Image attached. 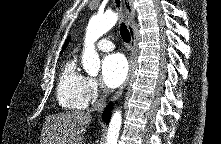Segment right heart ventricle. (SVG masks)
<instances>
[{
  "mask_svg": "<svg viewBox=\"0 0 221 144\" xmlns=\"http://www.w3.org/2000/svg\"><path fill=\"white\" fill-rule=\"evenodd\" d=\"M86 79L79 71L76 59L72 58L65 63L57 85V100L63 108L82 110L87 107Z\"/></svg>",
  "mask_w": 221,
  "mask_h": 144,
  "instance_id": "1",
  "label": "right heart ventricle"
}]
</instances>
